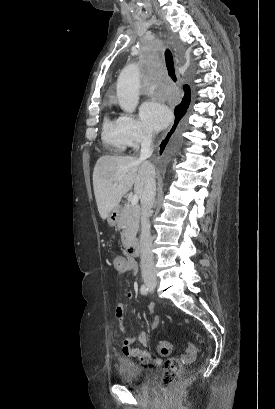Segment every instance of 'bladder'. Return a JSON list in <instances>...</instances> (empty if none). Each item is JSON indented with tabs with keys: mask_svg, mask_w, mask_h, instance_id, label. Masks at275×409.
Segmentation results:
<instances>
[{
	"mask_svg": "<svg viewBox=\"0 0 275 409\" xmlns=\"http://www.w3.org/2000/svg\"><path fill=\"white\" fill-rule=\"evenodd\" d=\"M117 379L124 384L142 389L155 380L152 368H146L132 361H119L116 365Z\"/></svg>",
	"mask_w": 275,
	"mask_h": 409,
	"instance_id": "1",
	"label": "bladder"
}]
</instances>
